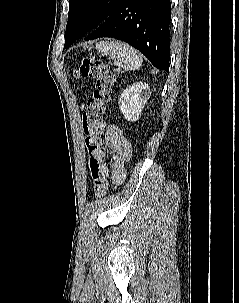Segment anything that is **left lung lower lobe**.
Listing matches in <instances>:
<instances>
[{"label": "left lung lower lobe", "instance_id": "1", "mask_svg": "<svg viewBox=\"0 0 239 303\" xmlns=\"http://www.w3.org/2000/svg\"><path fill=\"white\" fill-rule=\"evenodd\" d=\"M170 0H120L85 40L112 37L129 43L158 69L169 72Z\"/></svg>", "mask_w": 239, "mask_h": 303}]
</instances>
